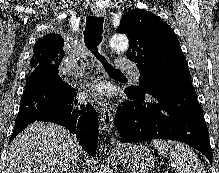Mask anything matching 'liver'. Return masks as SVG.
<instances>
[{
    "mask_svg": "<svg viewBox=\"0 0 219 173\" xmlns=\"http://www.w3.org/2000/svg\"><path fill=\"white\" fill-rule=\"evenodd\" d=\"M82 148L74 134L50 122H34L11 142L3 173H64Z\"/></svg>",
    "mask_w": 219,
    "mask_h": 173,
    "instance_id": "liver-1",
    "label": "liver"
}]
</instances>
